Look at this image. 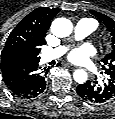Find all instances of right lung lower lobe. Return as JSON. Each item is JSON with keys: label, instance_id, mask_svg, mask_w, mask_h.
Returning a JSON list of instances; mask_svg holds the SVG:
<instances>
[{"label": "right lung lower lobe", "instance_id": "98d812e1", "mask_svg": "<svg viewBox=\"0 0 115 119\" xmlns=\"http://www.w3.org/2000/svg\"><path fill=\"white\" fill-rule=\"evenodd\" d=\"M40 60L26 61L2 69V78L16 95L33 98L47 89V69L40 67Z\"/></svg>", "mask_w": 115, "mask_h": 119}]
</instances>
